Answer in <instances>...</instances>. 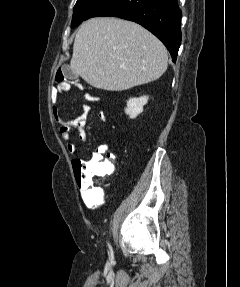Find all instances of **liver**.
Segmentation results:
<instances>
[{"mask_svg":"<svg viewBox=\"0 0 240 287\" xmlns=\"http://www.w3.org/2000/svg\"><path fill=\"white\" fill-rule=\"evenodd\" d=\"M167 62L165 46L139 24L97 17L79 28L70 69L95 88L123 91L159 79Z\"/></svg>","mask_w":240,"mask_h":287,"instance_id":"1","label":"liver"}]
</instances>
